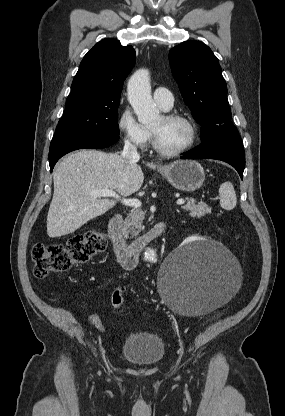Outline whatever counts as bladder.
<instances>
[{
	"mask_svg": "<svg viewBox=\"0 0 285 416\" xmlns=\"http://www.w3.org/2000/svg\"><path fill=\"white\" fill-rule=\"evenodd\" d=\"M121 354L134 363L159 362L165 354V345L158 334L133 332L124 340Z\"/></svg>",
	"mask_w": 285,
	"mask_h": 416,
	"instance_id": "bladder-1",
	"label": "bladder"
}]
</instances>
